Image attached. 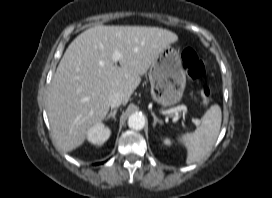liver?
Instances as JSON below:
<instances>
[{
    "instance_id": "1",
    "label": "liver",
    "mask_w": 272,
    "mask_h": 198,
    "mask_svg": "<svg viewBox=\"0 0 272 198\" xmlns=\"http://www.w3.org/2000/svg\"><path fill=\"white\" fill-rule=\"evenodd\" d=\"M178 36L146 26L97 25L78 35L66 49L47 95L53 137L63 151L82 145L88 131L108 114L109 96L127 104L155 57ZM121 57L116 65L113 54Z\"/></svg>"
}]
</instances>
